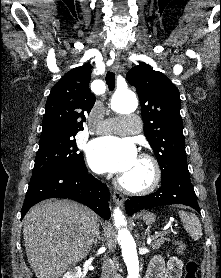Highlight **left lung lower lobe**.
Wrapping results in <instances>:
<instances>
[{
    "mask_svg": "<svg viewBox=\"0 0 221 278\" xmlns=\"http://www.w3.org/2000/svg\"><path fill=\"white\" fill-rule=\"evenodd\" d=\"M161 184L155 193L129 198L126 202L128 215L141 209L171 204L187 205L200 212L187 167L178 168L162 178Z\"/></svg>",
    "mask_w": 221,
    "mask_h": 278,
    "instance_id": "1",
    "label": "left lung lower lobe"
}]
</instances>
